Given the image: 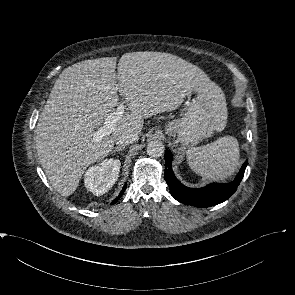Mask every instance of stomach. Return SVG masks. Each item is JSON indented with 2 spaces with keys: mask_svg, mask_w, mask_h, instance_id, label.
I'll return each instance as SVG.
<instances>
[{
  "mask_svg": "<svg viewBox=\"0 0 295 295\" xmlns=\"http://www.w3.org/2000/svg\"><path fill=\"white\" fill-rule=\"evenodd\" d=\"M194 98L189 103L183 118L170 121L165 132L177 145L185 148L196 146L214 131L224 129L227 107L224 93L211 81L193 88Z\"/></svg>",
  "mask_w": 295,
  "mask_h": 295,
  "instance_id": "stomach-1",
  "label": "stomach"
}]
</instances>
